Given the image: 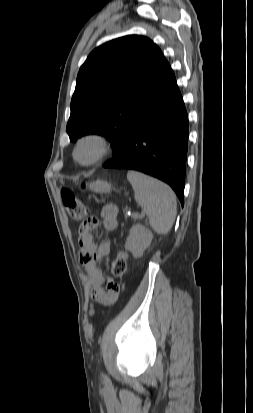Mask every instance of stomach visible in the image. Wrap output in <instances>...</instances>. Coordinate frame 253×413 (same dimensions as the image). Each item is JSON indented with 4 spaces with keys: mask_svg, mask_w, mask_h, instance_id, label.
<instances>
[{
    "mask_svg": "<svg viewBox=\"0 0 253 413\" xmlns=\"http://www.w3.org/2000/svg\"><path fill=\"white\" fill-rule=\"evenodd\" d=\"M89 188L96 193H108L111 191V184L103 180H96L90 183Z\"/></svg>",
    "mask_w": 253,
    "mask_h": 413,
    "instance_id": "1",
    "label": "stomach"
}]
</instances>
